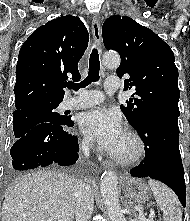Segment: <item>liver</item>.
<instances>
[{"instance_id":"1","label":"liver","mask_w":190,"mask_h":221,"mask_svg":"<svg viewBox=\"0 0 190 221\" xmlns=\"http://www.w3.org/2000/svg\"><path fill=\"white\" fill-rule=\"evenodd\" d=\"M76 183L73 176L49 170L18 179L3 202L2 221H73Z\"/></svg>"}]
</instances>
